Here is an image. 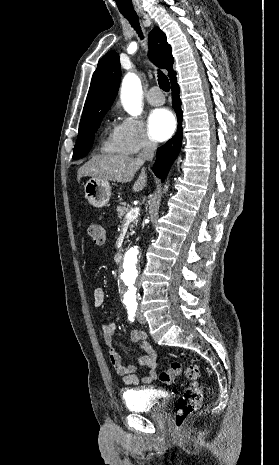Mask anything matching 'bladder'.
<instances>
[{
  "mask_svg": "<svg viewBox=\"0 0 279 465\" xmlns=\"http://www.w3.org/2000/svg\"><path fill=\"white\" fill-rule=\"evenodd\" d=\"M126 408L131 412L161 414L167 407L169 395L149 388H130L122 392Z\"/></svg>",
  "mask_w": 279,
  "mask_h": 465,
  "instance_id": "obj_1",
  "label": "bladder"
}]
</instances>
